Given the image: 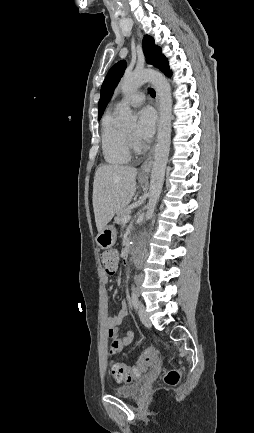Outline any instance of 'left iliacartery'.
I'll return each instance as SVG.
<instances>
[{
  "label": "left iliac artery",
  "mask_w": 254,
  "mask_h": 433,
  "mask_svg": "<svg viewBox=\"0 0 254 433\" xmlns=\"http://www.w3.org/2000/svg\"><path fill=\"white\" fill-rule=\"evenodd\" d=\"M132 304L134 308L137 310L138 308V296L135 291L132 292Z\"/></svg>",
  "instance_id": "44dca946"
}]
</instances>
